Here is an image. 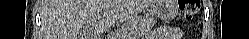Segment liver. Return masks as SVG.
<instances>
[{
    "mask_svg": "<svg viewBox=\"0 0 249 39\" xmlns=\"http://www.w3.org/2000/svg\"><path fill=\"white\" fill-rule=\"evenodd\" d=\"M155 0H45L42 29L45 39H97L86 32L95 27L101 34L151 6ZM94 37H97V35Z\"/></svg>",
    "mask_w": 249,
    "mask_h": 39,
    "instance_id": "obj_1",
    "label": "liver"
}]
</instances>
